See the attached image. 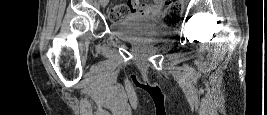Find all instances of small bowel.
<instances>
[{"label": "small bowel", "instance_id": "small-bowel-1", "mask_svg": "<svg viewBox=\"0 0 267 115\" xmlns=\"http://www.w3.org/2000/svg\"><path fill=\"white\" fill-rule=\"evenodd\" d=\"M133 14H160L162 11L163 1L155 0L150 4H143L138 1L131 3Z\"/></svg>", "mask_w": 267, "mask_h": 115}]
</instances>
